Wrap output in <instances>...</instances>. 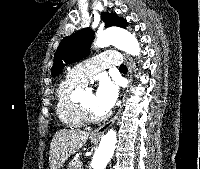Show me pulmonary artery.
Segmentation results:
<instances>
[{
	"label": "pulmonary artery",
	"instance_id": "obj_1",
	"mask_svg": "<svg viewBox=\"0 0 200 169\" xmlns=\"http://www.w3.org/2000/svg\"><path fill=\"white\" fill-rule=\"evenodd\" d=\"M121 58L116 51L104 52L75 66L68 77L76 82L85 84L99 71L110 66H119Z\"/></svg>",
	"mask_w": 200,
	"mask_h": 169
}]
</instances>
